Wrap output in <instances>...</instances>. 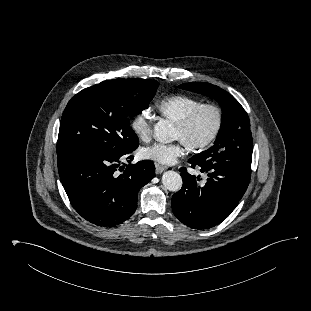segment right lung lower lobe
I'll use <instances>...</instances> for the list:
<instances>
[{"instance_id":"1","label":"right lung lower lobe","mask_w":311,"mask_h":311,"mask_svg":"<svg viewBox=\"0 0 311 311\" xmlns=\"http://www.w3.org/2000/svg\"><path fill=\"white\" fill-rule=\"evenodd\" d=\"M133 156H102L87 152L59 154L60 179L77 213L101 227H113L129 219L137 207V195L155 174L152 161L130 164L124 170L122 158ZM119 171H123L119 175Z\"/></svg>"}]
</instances>
